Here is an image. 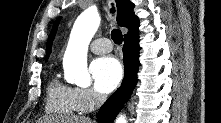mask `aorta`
Instances as JSON below:
<instances>
[{
	"instance_id": "obj_1",
	"label": "aorta",
	"mask_w": 221,
	"mask_h": 123,
	"mask_svg": "<svg viewBox=\"0 0 221 123\" xmlns=\"http://www.w3.org/2000/svg\"><path fill=\"white\" fill-rule=\"evenodd\" d=\"M100 24V16L95 9H87L76 19L71 30L67 49L63 58V69L69 82L81 87L91 83L87 69V49ZM116 123H127L120 115Z\"/></svg>"
}]
</instances>
